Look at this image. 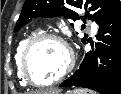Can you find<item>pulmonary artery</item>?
I'll use <instances>...</instances> for the list:
<instances>
[{
    "label": "pulmonary artery",
    "mask_w": 121,
    "mask_h": 94,
    "mask_svg": "<svg viewBox=\"0 0 121 94\" xmlns=\"http://www.w3.org/2000/svg\"><path fill=\"white\" fill-rule=\"evenodd\" d=\"M91 26H92V32H93V33H96L97 30H98V25H97V23H96V22H92Z\"/></svg>",
    "instance_id": "e3ab8cb5"
}]
</instances>
